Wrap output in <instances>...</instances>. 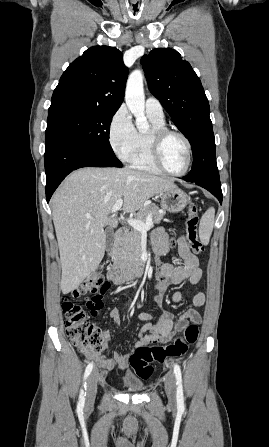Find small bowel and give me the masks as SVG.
<instances>
[{
  "mask_svg": "<svg viewBox=\"0 0 269 447\" xmlns=\"http://www.w3.org/2000/svg\"><path fill=\"white\" fill-rule=\"evenodd\" d=\"M152 243L155 252L158 255H165L168 251V236L165 230L161 227L154 230L152 234ZM177 251L181 259L180 264H163L160 266L159 272L156 275L157 285L156 289L160 292L154 298V303L161 306L163 301V294L170 285H182L189 282L192 285H197L202 276V270L199 267L197 257L190 251L185 239L181 236L177 242ZM185 297V292L176 291L172 294L171 299L174 303H180ZM192 302L195 307H201L205 303V296L202 292H195L192 294ZM110 319L119 324L121 320L120 311L116 308L109 313ZM138 318L148 323L140 330V337L137 346L147 345L151 342L167 343L171 341L172 329L187 328L191 321L200 323L201 317L195 309H187L179 316H174L172 313L163 311L156 319L145 312L139 313ZM111 338V331L105 329L103 331L104 346H107V341ZM91 358L100 367L104 369H112L118 366L120 369L128 367V356L117 352L111 355L100 353H91Z\"/></svg>",
  "mask_w": 269,
  "mask_h": 447,
  "instance_id": "obj_1",
  "label": "small bowel"
}]
</instances>
